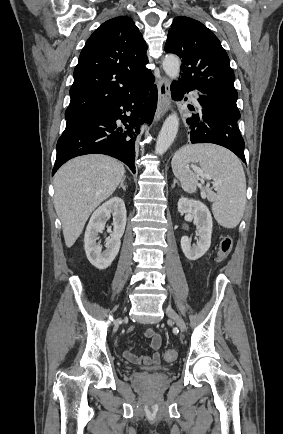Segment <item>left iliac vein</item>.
Returning <instances> with one entry per match:
<instances>
[{"label": "left iliac vein", "mask_w": 283, "mask_h": 434, "mask_svg": "<svg viewBox=\"0 0 283 434\" xmlns=\"http://www.w3.org/2000/svg\"><path fill=\"white\" fill-rule=\"evenodd\" d=\"M165 312L168 318L174 321V323L179 327V329L184 332L186 327L182 318L170 307H167L165 309Z\"/></svg>", "instance_id": "obj_1"}]
</instances>
